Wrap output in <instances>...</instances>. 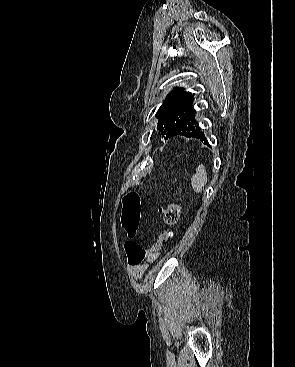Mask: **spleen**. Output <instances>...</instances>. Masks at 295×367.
Segmentation results:
<instances>
[{
  "instance_id": "obj_1",
  "label": "spleen",
  "mask_w": 295,
  "mask_h": 367,
  "mask_svg": "<svg viewBox=\"0 0 295 367\" xmlns=\"http://www.w3.org/2000/svg\"><path fill=\"white\" fill-rule=\"evenodd\" d=\"M207 183V173L203 164L196 168V174L191 178V184L195 192H201Z\"/></svg>"
}]
</instances>
